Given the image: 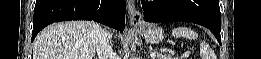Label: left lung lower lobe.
Here are the masks:
<instances>
[{
	"mask_svg": "<svg viewBox=\"0 0 261 59\" xmlns=\"http://www.w3.org/2000/svg\"><path fill=\"white\" fill-rule=\"evenodd\" d=\"M147 22H193L208 28L221 44L219 0H154L142 2Z\"/></svg>",
	"mask_w": 261,
	"mask_h": 59,
	"instance_id": "obj_1",
	"label": "left lung lower lobe"
}]
</instances>
